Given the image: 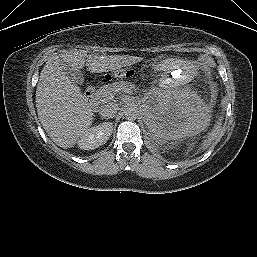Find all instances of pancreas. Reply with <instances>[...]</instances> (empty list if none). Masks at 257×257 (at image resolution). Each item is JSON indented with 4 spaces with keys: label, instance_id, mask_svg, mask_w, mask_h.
Segmentation results:
<instances>
[{
    "label": "pancreas",
    "instance_id": "1",
    "mask_svg": "<svg viewBox=\"0 0 257 257\" xmlns=\"http://www.w3.org/2000/svg\"><path fill=\"white\" fill-rule=\"evenodd\" d=\"M129 88L133 89L134 85L127 81H119L114 82L112 84H107L102 86L95 94V100L98 104L107 103L112 100V97L115 92H117L120 88Z\"/></svg>",
    "mask_w": 257,
    "mask_h": 257
}]
</instances>
